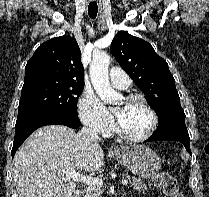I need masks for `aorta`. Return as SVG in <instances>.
Masks as SVG:
<instances>
[{"label": "aorta", "instance_id": "1", "mask_svg": "<svg viewBox=\"0 0 209 197\" xmlns=\"http://www.w3.org/2000/svg\"><path fill=\"white\" fill-rule=\"evenodd\" d=\"M109 64L110 56L106 52L93 55L90 64V77L93 87L101 100L107 103H114L120 96L110 86L108 76Z\"/></svg>", "mask_w": 209, "mask_h": 197}]
</instances>
